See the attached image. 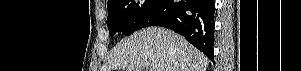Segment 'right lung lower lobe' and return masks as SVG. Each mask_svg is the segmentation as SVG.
Returning a JSON list of instances; mask_svg holds the SVG:
<instances>
[{
  "instance_id": "obj_1",
  "label": "right lung lower lobe",
  "mask_w": 301,
  "mask_h": 71,
  "mask_svg": "<svg viewBox=\"0 0 301 71\" xmlns=\"http://www.w3.org/2000/svg\"><path fill=\"white\" fill-rule=\"evenodd\" d=\"M214 11L213 0H157L142 22L141 28L148 26L170 28L183 35L213 62Z\"/></svg>"
}]
</instances>
